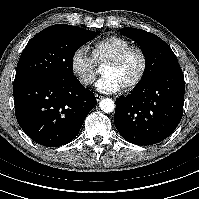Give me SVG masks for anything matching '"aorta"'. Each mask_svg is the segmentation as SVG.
<instances>
[{"label": "aorta", "instance_id": "aorta-1", "mask_svg": "<svg viewBox=\"0 0 199 199\" xmlns=\"http://www.w3.org/2000/svg\"><path fill=\"white\" fill-rule=\"evenodd\" d=\"M99 106H100L101 110L105 113H111L115 109L114 101L109 98H105V99L101 100Z\"/></svg>", "mask_w": 199, "mask_h": 199}]
</instances>
